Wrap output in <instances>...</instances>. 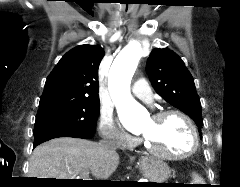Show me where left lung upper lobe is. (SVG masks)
<instances>
[{
	"mask_svg": "<svg viewBox=\"0 0 240 187\" xmlns=\"http://www.w3.org/2000/svg\"><path fill=\"white\" fill-rule=\"evenodd\" d=\"M146 71L155 91L168 103L190 116L199 132L203 124L201 103L192 75L182 59L169 49H154Z\"/></svg>",
	"mask_w": 240,
	"mask_h": 187,
	"instance_id": "5c2ea615",
	"label": "left lung upper lobe"
}]
</instances>
